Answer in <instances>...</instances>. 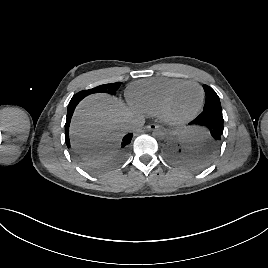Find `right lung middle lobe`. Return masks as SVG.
I'll use <instances>...</instances> for the list:
<instances>
[{
  "mask_svg": "<svg viewBox=\"0 0 268 268\" xmlns=\"http://www.w3.org/2000/svg\"><path fill=\"white\" fill-rule=\"evenodd\" d=\"M121 82L111 83V84H103L100 86H97L95 88L81 91L73 96V98H81L83 99L87 95L93 94V93H108L111 95H115L116 91L120 87Z\"/></svg>",
  "mask_w": 268,
  "mask_h": 268,
  "instance_id": "right-lung-middle-lobe-1",
  "label": "right lung middle lobe"
}]
</instances>
